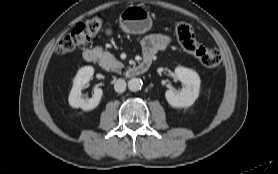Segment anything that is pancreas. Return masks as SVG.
Masks as SVG:
<instances>
[{"mask_svg":"<svg viewBox=\"0 0 278 174\" xmlns=\"http://www.w3.org/2000/svg\"><path fill=\"white\" fill-rule=\"evenodd\" d=\"M100 65L107 71H119L124 65L108 51L100 52Z\"/></svg>","mask_w":278,"mask_h":174,"instance_id":"cf45deb5","label":"pancreas"}]
</instances>
